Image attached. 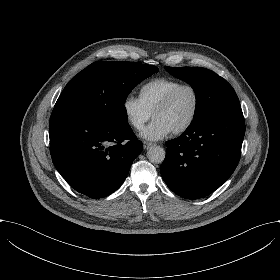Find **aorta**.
Instances as JSON below:
<instances>
[{"instance_id":"1","label":"aorta","mask_w":280,"mask_h":280,"mask_svg":"<svg viewBox=\"0 0 280 280\" xmlns=\"http://www.w3.org/2000/svg\"><path fill=\"white\" fill-rule=\"evenodd\" d=\"M147 157L152 163H161L165 158V150L161 146L154 145L148 149Z\"/></svg>"}]
</instances>
